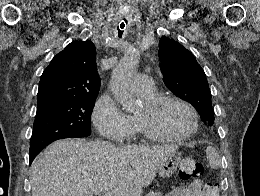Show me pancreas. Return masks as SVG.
<instances>
[{
	"label": "pancreas",
	"instance_id": "obj_1",
	"mask_svg": "<svg viewBox=\"0 0 260 196\" xmlns=\"http://www.w3.org/2000/svg\"><path fill=\"white\" fill-rule=\"evenodd\" d=\"M148 196H162V192H150Z\"/></svg>",
	"mask_w": 260,
	"mask_h": 196
}]
</instances>
